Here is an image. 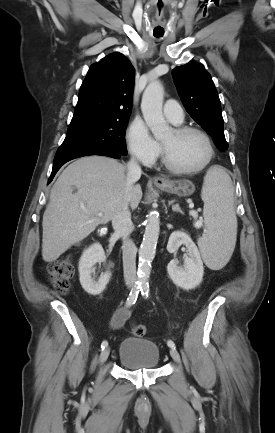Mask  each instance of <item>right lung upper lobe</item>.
<instances>
[{"label":"right lung upper lobe","instance_id":"1","mask_svg":"<svg viewBox=\"0 0 275 433\" xmlns=\"http://www.w3.org/2000/svg\"><path fill=\"white\" fill-rule=\"evenodd\" d=\"M133 86L134 69L130 61L121 53L104 57L90 67L72 119L129 118Z\"/></svg>","mask_w":275,"mask_h":433}]
</instances>
